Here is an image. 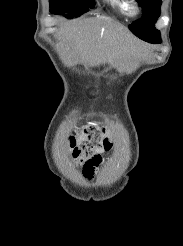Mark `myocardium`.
<instances>
[{"mask_svg": "<svg viewBox=\"0 0 183 246\" xmlns=\"http://www.w3.org/2000/svg\"><path fill=\"white\" fill-rule=\"evenodd\" d=\"M139 12H140L139 5L135 1H132L131 4H130V7H129V13L132 16H136V15L139 14Z\"/></svg>", "mask_w": 183, "mask_h": 246, "instance_id": "f54148a6", "label": "myocardium"}]
</instances>
